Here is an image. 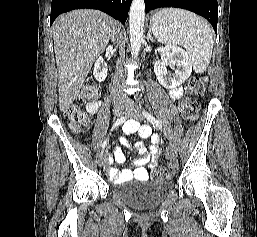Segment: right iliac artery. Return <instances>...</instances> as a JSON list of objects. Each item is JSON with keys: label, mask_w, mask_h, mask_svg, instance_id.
<instances>
[{"label": "right iliac artery", "mask_w": 257, "mask_h": 237, "mask_svg": "<svg viewBox=\"0 0 257 237\" xmlns=\"http://www.w3.org/2000/svg\"><path fill=\"white\" fill-rule=\"evenodd\" d=\"M125 120H126V115L120 117V118L114 123V125H113V127H112V130H113L114 128H116L118 125L123 124V123L125 122ZM108 141H109V138L107 137V138L104 140L103 144H102V149H104V148L107 146Z\"/></svg>", "instance_id": "right-iliac-artery-1"}]
</instances>
